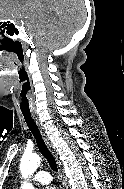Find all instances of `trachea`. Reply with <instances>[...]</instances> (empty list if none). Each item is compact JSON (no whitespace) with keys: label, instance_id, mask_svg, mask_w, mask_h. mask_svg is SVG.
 Masks as SVG:
<instances>
[{"label":"trachea","instance_id":"1","mask_svg":"<svg viewBox=\"0 0 124 189\" xmlns=\"http://www.w3.org/2000/svg\"><path fill=\"white\" fill-rule=\"evenodd\" d=\"M24 119L30 129V131L32 132V134L34 135L38 148L40 150V152L42 153V155L46 158L48 164L50 165L51 169L53 171H58V167H57V163L55 158L53 157V155L50 153L49 149L47 148L46 144L44 143L41 133L38 129L37 124L35 123L34 119L32 118V115L30 112H22Z\"/></svg>","mask_w":124,"mask_h":189}]
</instances>
